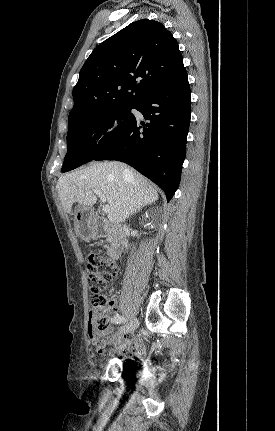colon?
<instances>
[{"label":"colon","instance_id":"5ec220e1","mask_svg":"<svg viewBox=\"0 0 275 431\" xmlns=\"http://www.w3.org/2000/svg\"><path fill=\"white\" fill-rule=\"evenodd\" d=\"M116 272V263L105 255L93 253L89 256L87 281L93 295L92 327L99 332L109 327L110 312L114 308V302L102 295V291Z\"/></svg>","mask_w":275,"mask_h":431}]
</instances>
